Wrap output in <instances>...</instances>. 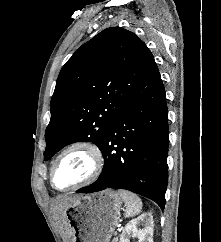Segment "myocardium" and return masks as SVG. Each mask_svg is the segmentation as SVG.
I'll use <instances>...</instances> for the list:
<instances>
[{"instance_id": "1", "label": "myocardium", "mask_w": 221, "mask_h": 242, "mask_svg": "<svg viewBox=\"0 0 221 242\" xmlns=\"http://www.w3.org/2000/svg\"><path fill=\"white\" fill-rule=\"evenodd\" d=\"M74 149H82L89 154V156L92 160V170H91L90 174L86 178L81 180L80 182H78L68 188H58L55 186L54 180H53V174H54L55 167H56L57 163L59 162V160L67 152L74 150ZM103 166H104V156H103L101 149L95 143H93L91 141L77 140V141L71 142L68 145H66L53 159L52 164L50 166V171H49V181H50L51 186L58 191H63V192L73 191V190L84 187V186L92 183L93 181H95L101 174V172L103 170Z\"/></svg>"}]
</instances>
